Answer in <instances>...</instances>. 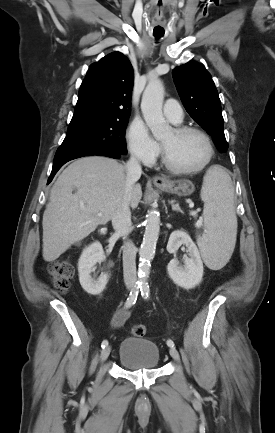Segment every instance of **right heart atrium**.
Instances as JSON below:
<instances>
[{
	"instance_id": "obj_1",
	"label": "right heart atrium",
	"mask_w": 275,
	"mask_h": 433,
	"mask_svg": "<svg viewBox=\"0 0 275 433\" xmlns=\"http://www.w3.org/2000/svg\"><path fill=\"white\" fill-rule=\"evenodd\" d=\"M126 139L129 152L135 159L145 165L154 163L160 153V147L141 119H135L130 123Z\"/></svg>"
}]
</instances>
